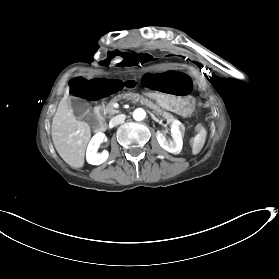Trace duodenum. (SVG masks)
<instances>
[{
  "label": "duodenum",
  "instance_id": "410a0bca",
  "mask_svg": "<svg viewBox=\"0 0 279 279\" xmlns=\"http://www.w3.org/2000/svg\"><path fill=\"white\" fill-rule=\"evenodd\" d=\"M144 96H146L147 98H150L151 96L157 97V94H152L150 91H147L146 93H144ZM94 109H95V113H97L98 120H99V126L94 127V132L102 133V131L106 127L105 116H103V112L102 110H100L99 104H94Z\"/></svg>",
  "mask_w": 279,
  "mask_h": 279
}]
</instances>
